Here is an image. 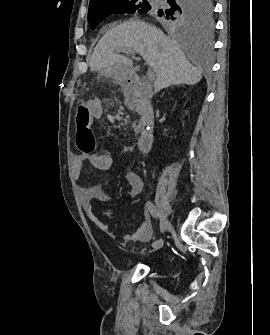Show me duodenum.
<instances>
[{
	"instance_id": "1",
	"label": "duodenum",
	"mask_w": 270,
	"mask_h": 335,
	"mask_svg": "<svg viewBox=\"0 0 270 335\" xmlns=\"http://www.w3.org/2000/svg\"><path fill=\"white\" fill-rule=\"evenodd\" d=\"M128 97V107L135 110L139 116V137L138 148L146 153L150 150L153 143L154 114L150 102L146 99V89L134 80H128L124 86Z\"/></svg>"
}]
</instances>
